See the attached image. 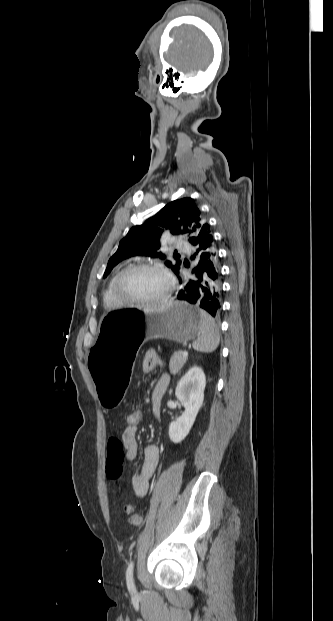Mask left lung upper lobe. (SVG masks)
Listing matches in <instances>:
<instances>
[{
    "mask_svg": "<svg viewBox=\"0 0 333 621\" xmlns=\"http://www.w3.org/2000/svg\"><path fill=\"white\" fill-rule=\"evenodd\" d=\"M208 225L201 216L195 201L192 198H181L168 203L156 215L147 219L142 225L134 226L120 241L116 253L109 259L104 278L122 260L135 255L160 256V238L164 231L172 234H189L190 242L195 239L203 226ZM165 265L175 274L179 272L181 261L175 264L165 261Z\"/></svg>",
    "mask_w": 333,
    "mask_h": 621,
    "instance_id": "5c2ea615",
    "label": "left lung upper lobe"
}]
</instances>
